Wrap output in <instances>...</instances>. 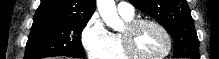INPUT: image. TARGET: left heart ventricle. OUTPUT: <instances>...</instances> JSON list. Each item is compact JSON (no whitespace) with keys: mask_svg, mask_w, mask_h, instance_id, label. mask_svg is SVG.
<instances>
[{"mask_svg":"<svg viewBox=\"0 0 219 59\" xmlns=\"http://www.w3.org/2000/svg\"><path fill=\"white\" fill-rule=\"evenodd\" d=\"M134 46L140 55L154 57L166 50L167 41L165 36L156 27L143 25L134 35Z\"/></svg>","mask_w":219,"mask_h":59,"instance_id":"obj_1","label":"left heart ventricle"}]
</instances>
